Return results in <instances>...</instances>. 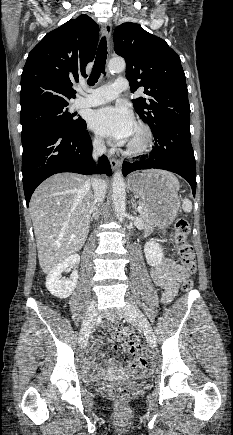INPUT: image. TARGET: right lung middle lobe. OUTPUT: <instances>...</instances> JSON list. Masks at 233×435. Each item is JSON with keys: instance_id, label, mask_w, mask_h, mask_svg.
Segmentation results:
<instances>
[{"instance_id": "1", "label": "right lung middle lobe", "mask_w": 233, "mask_h": 435, "mask_svg": "<svg viewBox=\"0 0 233 435\" xmlns=\"http://www.w3.org/2000/svg\"><path fill=\"white\" fill-rule=\"evenodd\" d=\"M67 106L68 105L47 107L20 116L22 124L21 135L46 126L77 129L85 121L82 118H74L75 115L68 112Z\"/></svg>"}]
</instances>
